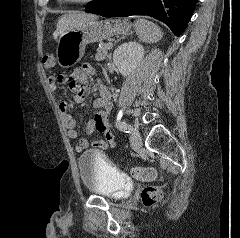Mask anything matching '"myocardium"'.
<instances>
[{
  "mask_svg": "<svg viewBox=\"0 0 240 238\" xmlns=\"http://www.w3.org/2000/svg\"><path fill=\"white\" fill-rule=\"evenodd\" d=\"M63 2H67V3H73V4H88V3H92L96 0H60Z\"/></svg>",
  "mask_w": 240,
  "mask_h": 238,
  "instance_id": "myocardium-1",
  "label": "myocardium"
}]
</instances>
